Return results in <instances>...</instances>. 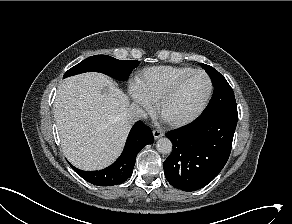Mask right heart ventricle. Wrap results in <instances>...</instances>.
Returning <instances> with one entry per match:
<instances>
[{
  "label": "right heart ventricle",
  "instance_id": "1",
  "mask_svg": "<svg viewBox=\"0 0 292 224\" xmlns=\"http://www.w3.org/2000/svg\"><path fill=\"white\" fill-rule=\"evenodd\" d=\"M194 70L188 66L147 68L138 74L135 86L150 102H156L174 82Z\"/></svg>",
  "mask_w": 292,
  "mask_h": 224
}]
</instances>
